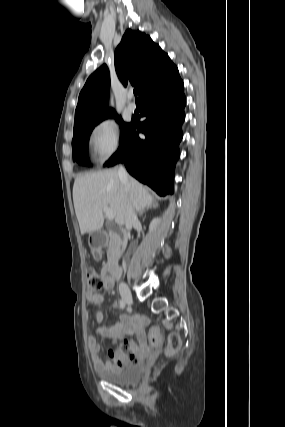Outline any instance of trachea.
<instances>
[{
	"mask_svg": "<svg viewBox=\"0 0 285 427\" xmlns=\"http://www.w3.org/2000/svg\"><path fill=\"white\" fill-rule=\"evenodd\" d=\"M133 92H134V95H135V96H137V94H138V89H137V88H135V89L133 90Z\"/></svg>",
	"mask_w": 285,
	"mask_h": 427,
	"instance_id": "trachea-1",
	"label": "trachea"
}]
</instances>
